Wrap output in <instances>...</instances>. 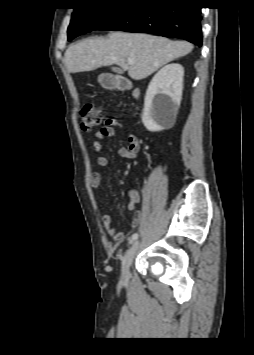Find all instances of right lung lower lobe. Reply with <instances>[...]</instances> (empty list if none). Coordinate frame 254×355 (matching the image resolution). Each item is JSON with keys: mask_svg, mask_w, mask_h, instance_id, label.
<instances>
[{"mask_svg": "<svg viewBox=\"0 0 254 355\" xmlns=\"http://www.w3.org/2000/svg\"><path fill=\"white\" fill-rule=\"evenodd\" d=\"M98 29L153 33L202 45L201 8L195 0H132Z\"/></svg>", "mask_w": 254, "mask_h": 355, "instance_id": "1", "label": "right lung lower lobe"}]
</instances>
